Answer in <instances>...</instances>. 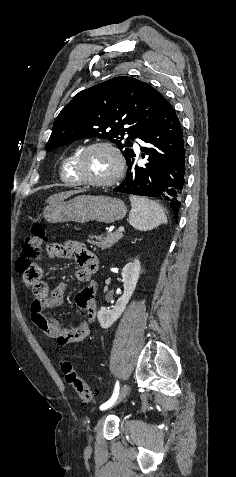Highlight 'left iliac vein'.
<instances>
[{
  "label": "left iliac vein",
  "mask_w": 236,
  "mask_h": 477,
  "mask_svg": "<svg viewBox=\"0 0 236 477\" xmlns=\"http://www.w3.org/2000/svg\"><path fill=\"white\" fill-rule=\"evenodd\" d=\"M129 390H130V386L128 384H124L121 387V390L118 394L116 401L110 403L108 407H105L103 410L100 411L101 416L105 417L106 414L112 413V411H114L119 406V403L125 399Z\"/></svg>",
  "instance_id": "1"
}]
</instances>
